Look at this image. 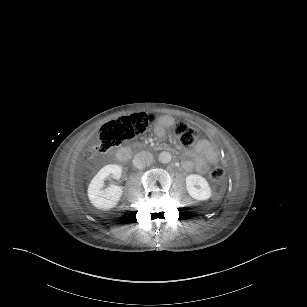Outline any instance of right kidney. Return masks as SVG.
<instances>
[{
	"instance_id": "1",
	"label": "right kidney",
	"mask_w": 307,
	"mask_h": 307,
	"mask_svg": "<svg viewBox=\"0 0 307 307\" xmlns=\"http://www.w3.org/2000/svg\"><path fill=\"white\" fill-rule=\"evenodd\" d=\"M122 172L121 166L109 164L104 166L92 179L88 187V197L95 208L108 211L117 206L123 195V187L112 185L104 189V180L110 175L114 179H120Z\"/></svg>"
}]
</instances>
